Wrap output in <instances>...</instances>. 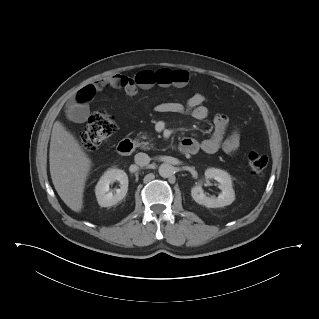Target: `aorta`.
<instances>
[{
    "mask_svg": "<svg viewBox=\"0 0 319 319\" xmlns=\"http://www.w3.org/2000/svg\"><path fill=\"white\" fill-rule=\"evenodd\" d=\"M159 175L163 178H168L173 175L174 167L171 164L163 163L158 169Z\"/></svg>",
    "mask_w": 319,
    "mask_h": 319,
    "instance_id": "aorta-1",
    "label": "aorta"
}]
</instances>
